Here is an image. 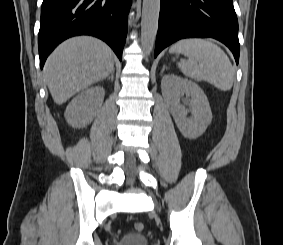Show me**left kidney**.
Returning a JSON list of instances; mask_svg holds the SVG:
<instances>
[{
  "mask_svg": "<svg viewBox=\"0 0 283 245\" xmlns=\"http://www.w3.org/2000/svg\"><path fill=\"white\" fill-rule=\"evenodd\" d=\"M162 94L180 132L187 138L201 136L212 120L208 99L202 89L192 81L177 75H165L161 81ZM188 95L192 117L187 118V110L180 104V97Z\"/></svg>",
  "mask_w": 283,
  "mask_h": 245,
  "instance_id": "1",
  "label": "left kidney"
}]
</instances>
